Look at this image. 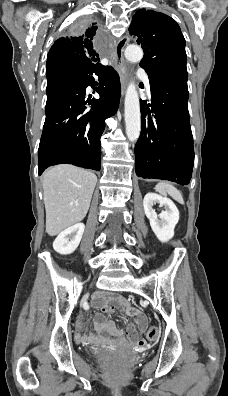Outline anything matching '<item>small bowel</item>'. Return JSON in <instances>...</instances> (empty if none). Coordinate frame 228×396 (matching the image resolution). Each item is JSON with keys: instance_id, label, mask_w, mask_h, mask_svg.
I'll return each mask as SVG.
<instances>
[{"instance_id": "c3829d8e", "label": "small bowel", "mask_w": 228, "mask_h": 396, "mask_svg": "<svg viewBox=\"0 0 228 396\" xmlns=\"http://www.w3.org/2000/svg\"><path fill=\"white\" fill-rule=\"evenodd\" d=\"M93 305L102 312L96 316L94 321V327L99 334L122 338L123 332L113 322L108 321L104 314L113 311L126 312L134 319V322H130L126 327V338L139 345L145 343L142 335L147 327V318L143 312L127 303L124 297L112 294H99L94 298ZM77 337L81 341H87L92 338L84 332L82 327L79 328Z\"/></svg>"}]
</instances>
